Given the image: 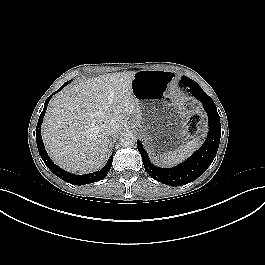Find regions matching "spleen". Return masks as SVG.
Returning <instances> with one entry per match:
<instances>
[{
	"label": "spleen",
	"mask_w": 265,
	"mask_h": 265,
	"mask_svg": "<svg viewBox=\"0 0 265 265\" xmlns=\"http://www.w3.org/2000/svg\"><path fill=\"white\" fill-rule=\"evenodd\" d=\"M199 147V140L197 138L192 139L186 145H181L174 151L164 153L159 157V160L164 165H174L183 161L188 155H190L195 149Z\"/></svg>",
	"instance_id": "obj_1"
}]
</instances>
